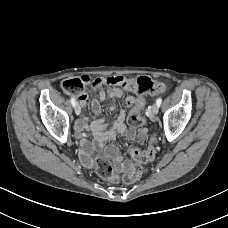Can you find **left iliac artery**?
Here are the masks:
<instances>
[{"label":"left iliac artery","instance_id":"1","mask_svg":"<svg viewBox=\"0 0 228 228\" xmlns=\"http://www.w3.org/2000/svg\"><path fill=\"white\" fill-rule=\"evenodd\" d=\"M161 103H162V98H158L157 101H156V104H157L158 106H160Z\"/></svg>","mask_w":228,"mask_h":228}]
</instances>
